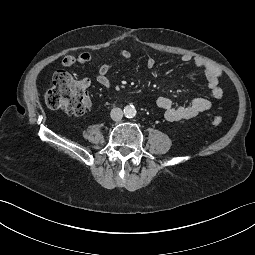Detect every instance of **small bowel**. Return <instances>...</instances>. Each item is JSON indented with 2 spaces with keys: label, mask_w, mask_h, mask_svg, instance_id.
<instances>
[{
  "label": "small bowel",
  "mask_w": 255,
  "mask_h": 255,
  "mask_svg": "<svg viewBox=\"0 0 255 255\" xmlns=\"http://www.w3.org/2000/svg\"><path fill=\"white\" fill-rule=\"evenodd\" d=\"M131 58V53L128 50H122L119 54V59L126 62ZM91 56L87 52H83L77 56L68 55L62 60V66L65 68L72 67L76 64H86L90 61ZM181 60L185 63H192L195 68L202 71L207 81V87L211 96L215 99H221L223 90L219 86V79L223 72L217 66L209 63L201 57H192L190 55H183ZM156 61L154 58L149 57L146 61V67L152 71L155 67ZM114 68V63H105L100 66L96 81L103 87H111L112 81L109 78V73ZM84 86L90 85L89 79H83ZM156 105L164 111V116L168 121H187L193 119L199 114L211 109L212 103L209 99L204 97H195L185 106H175L173 101L165 96H159L156 99Z\"/></svg>",
  "instance_id": "obj_1"
}]
</instances>
